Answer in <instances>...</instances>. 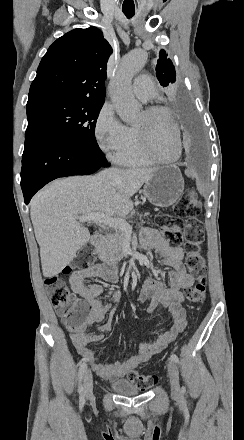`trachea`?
<instances>
[{
	"label": "trachea",
	"instance_id": "3493384b",
	"mask_svg": "<svg viewBox=\"0 0 244 440\" xmlns=\"http://www.w3.org/2000/svg\"><path fill=\"white\" fill-rule=\"evenodd\" d=\"M122 11L127 18H131L135 15V9L123 8Z\"/></svg>",
	"mask_w": 244,
	"mask_h": 440
}]
</instances>
